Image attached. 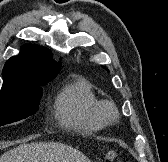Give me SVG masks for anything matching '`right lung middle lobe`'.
Instances as JSON below:
<instances>
[{"mask_svg":"<svg viewBox=\"0 0 168 162\" xmlns=\"http://www.w3.org/2000/svg\"><path fill=\"white\" fill-rule=\"evenodd\" d=\"M47 82H26L9 91L0 92V126L29 117L39 107L41 86Z\"/></svg>","mask_w":168,"mask_h":162,"instance_id":"right-lung-middle-lobe-1","label":"right lung middle lobe"}]
</instances>
